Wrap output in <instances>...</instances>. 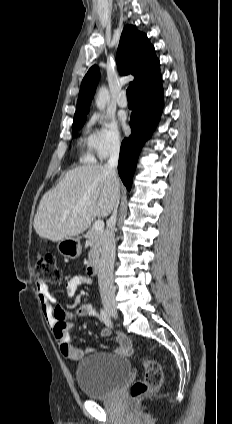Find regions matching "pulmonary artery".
Here are the masks:
<instances>
[{
	"mask_svg": "<svg viewBox=\"0 0 232 424\" xmlns=\"http://www.w3.org/2000/svg\"><path fill=\"white\" fill-rule=\"evenodd\" d=\"M117 104L119 107L121 108H126L128 106V101L126 98V93L124 91H122L118 98H117Z\"/></svg>",
	"mask_w": 232,
	"mask_h": 424,
	"instance_id": "pulmonary-artery-1",
	"label": "pulmonary artery"
}]
</instances>
